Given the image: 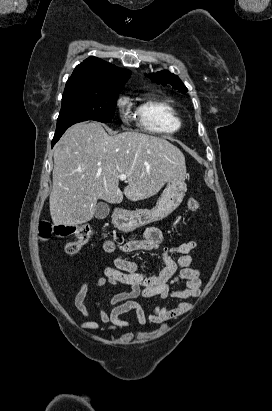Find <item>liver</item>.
<instances>
[{
	"label": "liver",
	"instance_id": "liver-1",
	"mask_svg": "<svg viewBox=\"0 0 272 411\" xmlns=\"http://www.w3.org/2000/svg\"><path fill=\"white\" fill-rule=\"evenodd\" d=\"M52 222L76 226L90 221L98 199L123 201L119 175H127V199L150 198L172 178L185 180L183 153L169 141L138 132L108 135L97 122L71 126L54 148Z\"/></svg>",
	"mask_w": 272,
	"mask_h": 411
}]
</instances>
